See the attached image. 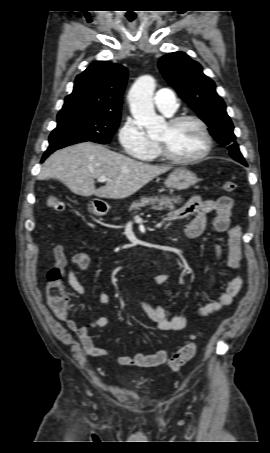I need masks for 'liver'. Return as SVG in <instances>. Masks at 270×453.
Wrapping results in <instances>:
<instances>
[{"label":"liver","instance_id":"6515ba94","mask_svg":"<svg viewBox=\"0 0 270 453\" xmlns=\"http://www.w3.org/2000/svg\"><path fill=\"white\" fill-rule=\"evenodd\" d=\"M170 169L171 166L146 164L99 144L83 142L54 152L44 162L38 179H59L80 196L123 199ZM101 176L112 181L95 189L94 180Z\"/></svg>","mask_w":270,"mask_h":453}]
</instances>
